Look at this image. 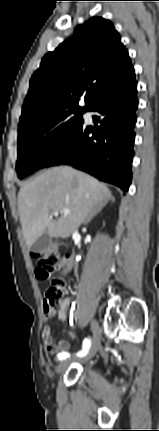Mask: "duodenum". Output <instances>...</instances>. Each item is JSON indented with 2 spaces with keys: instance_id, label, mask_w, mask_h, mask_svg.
Instances as JSON below:
<instances>
[{
  "instance_id": "duodenum-1",
  "label": "duodenum",
  "mask_w": 159,
  "mask_h": 431,
  "mask_svg": "<svg viewBox=\"0 0 159 431\" xmlns=\"http://www.w3.org/2000/svg\"><path fill=\"white\" fill-rule=\"evenodd\" d=\"M67 257H69V258H70V260H71V262H72V264H73V259H72V257H71V256H67Z\"/></svg>"
}]
</instances>
